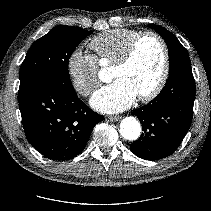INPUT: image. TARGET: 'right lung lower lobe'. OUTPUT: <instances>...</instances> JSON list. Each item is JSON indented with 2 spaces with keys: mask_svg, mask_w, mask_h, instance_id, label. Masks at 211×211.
Masks as SVG:
<instances>
[{
  "mask_svg": "<svg viewBox=\"0 0 211 211\" xmlns=\"http://www.w3.org/2000/svg\"><path fill=\"white\" fill-rule=\"evenodd\" d=\"M18 102L29 143L51 160L80 154L94 126L104 120L78 98L73 85L53 78L19 87Z\"/></svg>",
  "mask_w": 211,
  "mask_h": 211,
  "instance_id": "98d812e1",
  "label": "right lung lower lobe"
}]
</instances>
